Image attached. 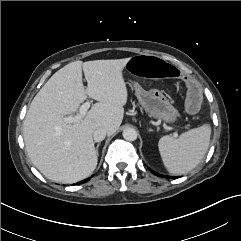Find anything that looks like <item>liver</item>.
Returning <instances> with one entry per match:
<instances>
[{
	"label": "liver",
	"mask_w": 241,
	"mask_h": 241,
	"mask_svg": "<svg viewBox=\"0 0 241 241\" xmlns=\"http://www.w3.org/2000/svg\"><path fill=\"white\" fill-rule=\"evenodd\" d=\"M129 60L71 62L34 97L24 119L23 137L30 160L45 177L72 184L93 173L98 161L93 132L102 127L112 135L124 117L128 91L122 71ZM88 96L98 102L79 121L66 123L63 118L76 113Z\"/></svg>",
	"instance_id": "6515ba94"
}]
</instances>
